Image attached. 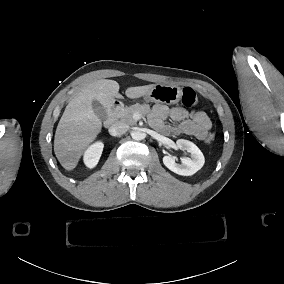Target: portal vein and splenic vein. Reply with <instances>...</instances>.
Returning a JSON list of instances; mask_svg holds the SVG:
<instances>
[{"label":"portal vein and splenic vein","mask_w":284,"mask_h":284,"mask_svg":"<svg viewBox=\"0 0 284 284\" xmlns=\"http://www.w3.org/2000/svg\"><path fill=\"white\" fill-rule=\"evenodd\" d=\"M132 118H133L135 121H138V120L141 119V115H140L139 113H134V114L132 115Z\"/></svg>","instance_id":"obj_1"}]
</instances>
